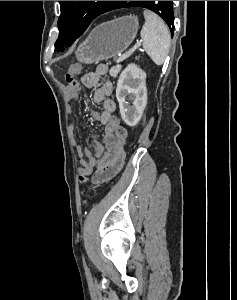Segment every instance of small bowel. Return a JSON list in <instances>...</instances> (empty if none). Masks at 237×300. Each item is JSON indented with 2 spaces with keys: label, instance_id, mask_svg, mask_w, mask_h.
<instances>
[{
  "label": "small bowel",
  "instance_id": "c3829d8e",
  "mask_svg": "<svg viewBox=\"0 0 237 300\" xmlns=\"http://www.w3.org/2000/svg\"><path fill=\"white\" fill-rule=\"evenodd\" d=\"M109 66L105 63L99 64L93 72L82 76V83L85 87H94L101 83L93 95V101L102 105L101 111L91 109V116L105 127L103 142L93 141L91 152L87 147H77V154L80 158V173L93 174L94 183H104L115 177L124 165L125 142L127 129L115 116L116 104L109 99L113 91V84L106 76ZM80 86H66L65 92L70 101L79 99Z\"/></svg>",
  "mask_w": 237,
  "mask_h": 300
}]
</instances>
